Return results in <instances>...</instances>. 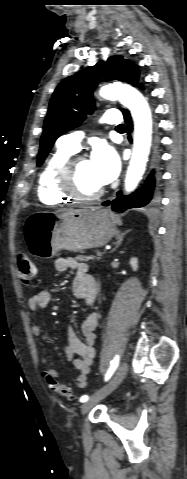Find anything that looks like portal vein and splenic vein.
Masks as SVG:
<instances>
[{
  "label": "portal vein and splenic vein",
  "instance_id": "obj_1",
  "mask_svg": "<svg viewBox=\"0 0 187 479\" xmlns=\"http://www.w3.org/2000/svg\"><path fill=\"white\" fill-rule=\"evenodd\" d=\"M96 255L101 257L103 255V253L99 251V252L96 253Z\"/></svg>",
  "mask_w": 187,
  "mask_h": 479
}]
</instances>
